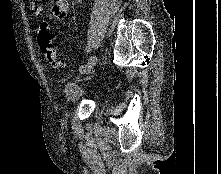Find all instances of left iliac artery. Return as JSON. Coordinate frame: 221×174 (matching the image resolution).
Masks as SVG:
<instances>
[{
	"label": "left iliac artery",
	"instance_id": "44dca946",
	"mask_svg": "<svg viewBox=\"0 0 221 174\" xmlns=\"http://www.w3.org/2000/svg\"><path fill=\"white\" fill-rule=\"evenodd\" d=\"M79 70H80V72L85 73L86 72V67L85 66H81Z\"/></svg>",
	"mask_w": 221,
	"mask_h": 174
}]
</instances>
